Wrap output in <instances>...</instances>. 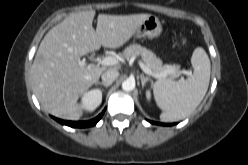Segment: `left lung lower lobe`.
<instances>
[{
    "instance_id": "1",
    "label": "left lung lower lobe",
    "mask_w": 248,
    "mask_h": 165,
    "mask_svg": "<svg viewBox=\"0 0 248 165\" xmlns=\"http://www.w3.org/2000/svg\"><path fill=\"white\" fill-rule=\"evenodd\" d=\"M150 123H152V124H160V123H156V122H153V121H150ZM160 125H164V124H160Z\"/></svg>"
}]
</instances>
